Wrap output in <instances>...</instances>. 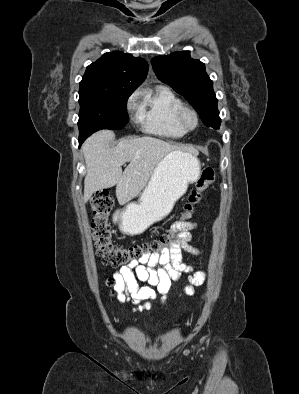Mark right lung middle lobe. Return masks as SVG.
I'll return each instance as SVG.
<instances>
[{"mask_svg": "<svg viewBox=\"0 0 299 394\" xmlns=\"http://www.w3.org/2000/svg\"><path fill=\"white\" fill-rule=\"evenodd\" d=\"M134 90L79 91L80 136L86 139L100 129H122L128 123L127 99Z\"/></svg>", "mask_w": 299, "mask_h": 394, "instance_id": "dd1d6c3e", "label": "right lung middle lobe"}]
</instances>
